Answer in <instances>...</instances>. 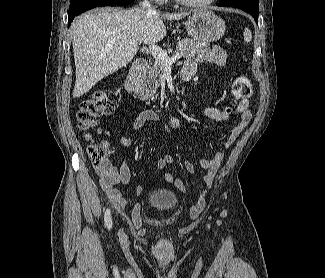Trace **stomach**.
I'll use <instances>...</instances> for the list:
<instances>
[{
  "label": "stomach",
  "mask_w": 325,
  "mask_h": 278,
  "mask_svg": "<svg viewBox=\"0 0 325 278\" xmlns=\"http://www.w3.org/2000/svg\"><path fill=\"white\" fill-rule=\"evenodd\" d=\"M185 28L190 37L200 42H214L225 33V22L209 10H198L188 17Z\"/></svg>",
  "instance_id": "1"
}]
</instances>
